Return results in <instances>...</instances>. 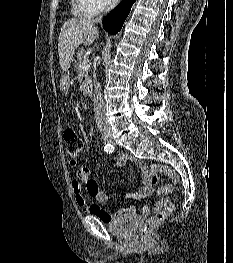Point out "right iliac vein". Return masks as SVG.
<instances>
[{
	"label": "right iliac vein",
	"instance_id": "1",
	"mask_svg": "<svg viewBox=\"0 0 233 263\" xmlns=\"http://www.w3.org/2000/svg\"><path fill=\"white\" fill-rule=\"evenodd\" d=\"M104 140H105L106 142L113 143V138H112V136L109 135V134L104 135Z\"/></svg>",
	"mask_w": 233,
	"mask_h": 263
}]
</instances>
